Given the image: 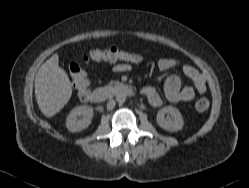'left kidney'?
I'll return each instance as SVG.
<instances>
[{
  "label": "left kidney",
  "instance_id": "left-kidney-1",
  "mask_svg": "<svg viewBox=\"0 0 249 188\" xmlns=\"http://www.w3.org/2000/svg\"><path fill=\"white\" fill-rule=\"evenodd\" d=\"M166 114L170 115L171 118H166ZM156 121L162 129L170 132H177L181 130L184 125L180 111L172 106L161 108L157 113Z\"/></svg>",
  "mask_w": 249,
  "mask_h": 188
}]
</instances>
